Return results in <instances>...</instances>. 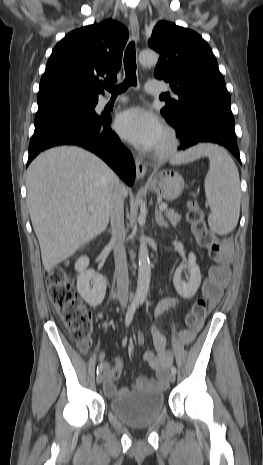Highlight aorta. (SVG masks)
Here are the masks:
<instances>
[{
  "mask_svg": "<svg viewBox=\"0 0 263 465\" xmlns=\"http://www.w3.org/2000/svg\"><path fill=\"white\" fill-rule=\"evenodd\" d=\"M159 56L151 50L142 51L139 54V62L143 66H154L157 64ZM151 279V267L147 244L144 240L140 242L139 248V269L137 289L134 296V301L143 303L147 297Z\"/></svg>",
  "mask_w": 263,
  "mask_h": 465,
  "instance_id": "762f6f07",
  "label": "aorta"
}]
</instances>
